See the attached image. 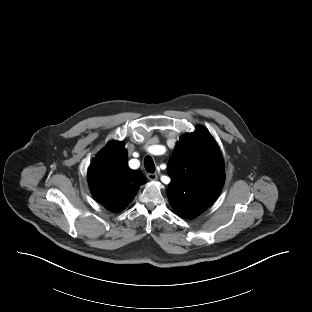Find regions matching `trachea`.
Instances as JSON below:
<instances>
[{"label":"trachea","instance_id":"1","mask_svg":"<svg viewBox=\"0 0 312 312\" xmlns=\"http://www.w3.org/2000/svg\"><path fill=\"white\" fill-rule=\"evenodd\" d=\"M144 166L147 172L154 173L155 164L150 156H146V158L144 159Z\"/></svg>","mask_w":312,"mask_h":312}]
</instances>
